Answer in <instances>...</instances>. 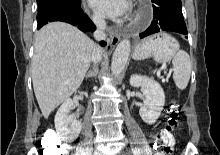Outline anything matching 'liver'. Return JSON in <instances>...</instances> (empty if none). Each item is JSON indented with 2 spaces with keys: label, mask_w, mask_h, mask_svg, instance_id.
Here are the masks:
<instances>
[{
  "label": "liver",
  "mask_w": 220,
  "mask_h": 155,
  "mask_svg": "<svg viewBox=\"0 0 220 155\" xmlns=\"http://www.w3.org/2000/svg\"><path fill=\"white\" fill-rule=\"evenodd\" d=\"M94 42L70 24L53 22L36 36L32 60L34 93L45 119L82 84Z\"/></svg>",
  "instance_id": "liver-1"
}]
</instances>
